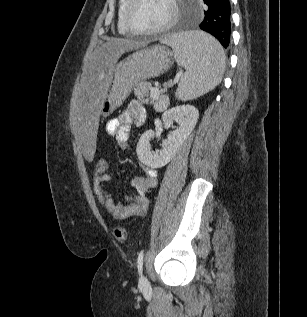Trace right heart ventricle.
Wrapping results in <instances>:
<instances>
[{
	"label": "right heart ventricle",
	"mask_w": 307,
	"mask_h": 317,
	"mask_svg": "<svg viewBox=\"0 0 307 317\" xmlns=\"http://www.w3.org/2000/svg\"><path fill=\"white\" fill-rule=\"evenodd\" d=\"M127 4V0H119L117 11V30L121 35H130L124 24V10Z\"/></svg>",
	"instance_id": "obj_1"
}]
</instances>
